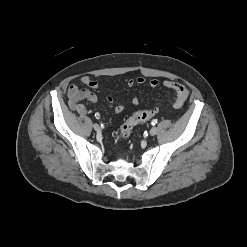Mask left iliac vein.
<instances>
[{
    "label": "left iliac vein",
    "instance_id": "1",
    "mask_svg": "<svg viewBox=\"0 0 247 247\" xmlns=\"http://www.w3.org/2000/svg\"><path fill=\"white\" fill-rule=\"evenodd\" d=\"M157 133V128L156 127H152L150 130V135L154 136Z\"/></svg>",
    "mask_w": 247,
    "mask_h": 247
}]
</instances>
